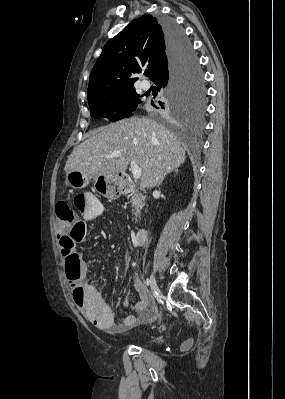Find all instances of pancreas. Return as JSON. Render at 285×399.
Here are the masks:
<instances>
[{"label": "pancreas", "instance_id": "1", "mask_svg": "<svg viewBox=\"0 0 285 399\" xmlns=\"http://www.w3.org/2000/svg\"><path fill=\"white\" fill-rule=\"evenodd\" d=\"M128 193L133 207L134 219L135 222H137L140 218V212L145 206L146 197L142 193H140L138 189L132 187H130L129 190L125 192V194Z\"/></svg>", "mask_w": 285, "mask_h": 399}]
</instances>
